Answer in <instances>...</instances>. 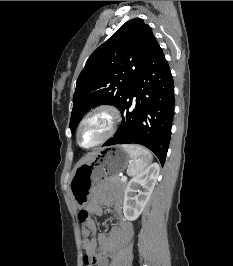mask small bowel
<instances>
[{"mask_svg": "<svg viewBox=\"0 0 233 266\" xmlns=\"http://www.w3.org/2000/svg\"><path fill=\"white\" fill-rule=\"evenodd\" d=\"M122 204L121 196L103 191L89 202L87 211L97 216L103 214V206L113 205L117 223L109 233H97L95 222L91 218L82 227V246L85 251L83 263L85 266H108L110 259L125 243L131 240L133 228L122 214ZM86 258H90L91 262L87 263Z\"/></svg>", "mask_w": 233, "mask_h": 266, "instance_id": "c3829d8e", "label": "small bowel"}]
</instances>
